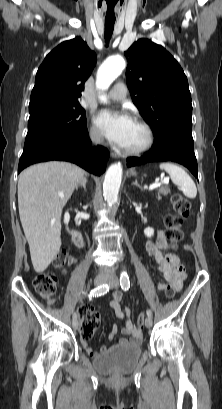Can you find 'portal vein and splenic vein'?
<instances>
[{
	"label": "portal vein and splenic vein",
	"mask_w": 222,
	"mask_h": 409,
	"mask_svg": "<svg viewBox=\"0 0 222 409\" xmlns=\"http://www.w3.org/2000/svg\"><path fill=\"white\" fill-rule=\"evenodd\" d=\"M169 183V179L165 178L163 180H161V182L157 181L153 184L150 185L149 190H153L157 187H159L161 184H168Z\"/></svg>",
	"instance_id": "1"
}]
</instances>
